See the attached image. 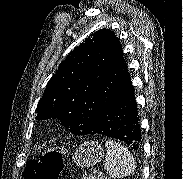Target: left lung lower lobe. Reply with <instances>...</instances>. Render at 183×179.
Returning <instances> with one entry per match:
<instances>
[{
	"mask_svg": "<svg viewBox=\"0 0 183 179\" xmlns=\"http://www.w3.org/2000/svg\"><path fill=\"white\" fill-rule=\"evenodd\" d=\"M90 134L122 141L136 151L140 147L141 132L137 103L125 63L113 103Z\"/></svg>",
	"mask_w": 183,
	"mask_h": 179,
	"instance_id": "0a47b994",
	"label": "left lung lower lobe"
}]
</instances>
